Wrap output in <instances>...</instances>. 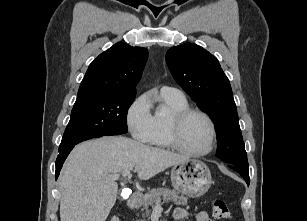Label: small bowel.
<instances>
[{"label": "small bowel", "instance_id": "1", "mask_svg": "<svg viewBox=\"0 0 307 221\" xmlns=\"http://www.w3.org/2000/svg\"><path fill=\"white\" fill-rule=\"evenodd\" d=\"M173 217L177 220H183L188 217V212L184 208H176L173 212ZM195 221H214L210 219L208 214L204 211H201L196 214Z\"/></svg>", "mask_w": 307, "mask_h": 221}]
</instances>
